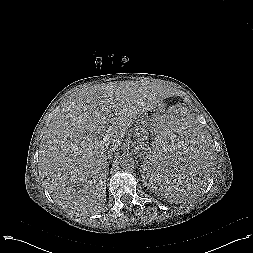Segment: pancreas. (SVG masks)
<instances>
[{"mask_svg": "<svg viewBox=\"0 0 253 253\" xmlns=\"http://www.w3.org/2000/svg\"><path fill=\"white\" fill-rule=\"evenodd\" d=\"M146 135H147V131L144 128H140L139 133H138V138L145 139Z\"/></svg>", "mask_w": 253, "mask_h": 253, "instance_id": "1", "label": "pancreas"}]
</instances>
